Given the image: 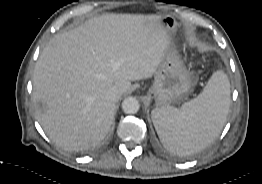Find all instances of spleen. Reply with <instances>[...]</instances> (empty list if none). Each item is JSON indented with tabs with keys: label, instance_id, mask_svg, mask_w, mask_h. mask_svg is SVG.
I'll return each instance as SVG.
<instances>
[{
	"label": "spleen",
	"instance_id": "spleen-1",
	"mask_svg": "<svg viewBox=\"0 0 262 184\" xmlns=\"http://www.w3.org/2000/svg\"><path fill=\"white\" fill-rule=\"evenodd\" d=\"M230 107V82L219 70L212 74L196 98L180 108L163 106L151 112L164 147L178 155L194 154L210 145L221 133Z\"/></svg>",
	"mask_w": 262,
	"mask_h": 184
}]
</instances>
